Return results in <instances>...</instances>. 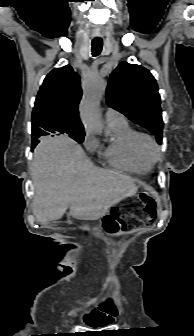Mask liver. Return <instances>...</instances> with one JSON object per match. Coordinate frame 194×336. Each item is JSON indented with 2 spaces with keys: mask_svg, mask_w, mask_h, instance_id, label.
I'll list each match as a JSON object with an SVG mask.
<instances>
[{
  "mask_svg": "<svg viewBox=\"0 0 194 336\" xmlns=\"http://www.w3.org/2000/svg\"><path fill=\"white\" fill-rule=\"evenodd\" d=\"M31 174L33 214L40 223L60 219L68 208L73 218L97 220L138 190L131 176L94 166L67 137L43 139L37 145Z\"/></svg>",
  "mask_w": 194,
  "mask_h": 336,
  "instance_id": "6515ba94",
  "label": "liver"
}]
</instances>
